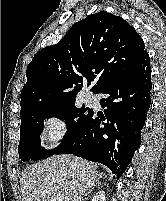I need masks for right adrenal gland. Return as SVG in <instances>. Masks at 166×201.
Here are the masks:
<instances>
[{"label": "right adrenal gland", "mask_w": 166, "mask_h": 201, "mask_svg": "<svg viewBox=\"0 0 166 201\" xmlns=\"http://www.w3.org/2000/svg\"><path fill=\"white\" fill-rule=\"evenodd\" d=\"M103 177V175L102 174H100L99 175V178L97 179V181L94 183V184H92V186L87 190V192L84 194V196L86 197L89 193H91L92 192V190L97 186V185H99L100 184V179Z\"/></svg>", "instance_id": "right-adrenal-gland-1"}]
</instances>
